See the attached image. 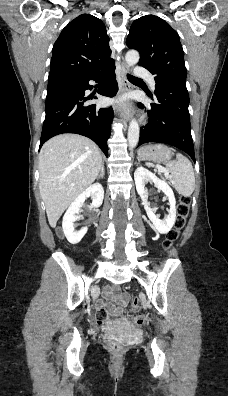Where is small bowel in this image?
<instances>
[{
    "instance_id": "obj_1",
    "label": "small bowel",
    "mask_w": 228,
    "mask_h": 396,
    "mask_svg": "<svg viewBox=\"0 0 228 396\" xmlns=\"http://www.w3.org/2000/svg\"><path fill=\"white\" fill-rule=\"evenodd\" d=\"M105 301H97L96 307L105 314L118 315L123 311V307L127 304L128 295H122L118 290H111L107 288L104 291ZM114 302V303H112ZM99 324L104 323V316L98 319Z\"/></svg>"
}]
</instances>
